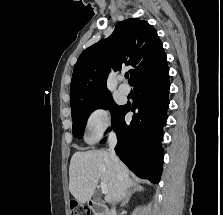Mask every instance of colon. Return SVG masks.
<instances>
[{
	"instance_id": "obj_1",
	"label": "colon",
	"mask_w": 223,
	"mask_h": 215,
	"mask_svg": "<svg viewBox=\"0 0 223 215\" xmlns=\"http://www.w3.org/2000/svg\"><path fill=\"white\" fill-rule=\"evenodd\" d=\"M88 208L79 203H72L70 206V215H89Z\"/></svg>"
}]
</instances>
